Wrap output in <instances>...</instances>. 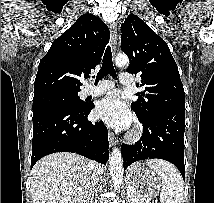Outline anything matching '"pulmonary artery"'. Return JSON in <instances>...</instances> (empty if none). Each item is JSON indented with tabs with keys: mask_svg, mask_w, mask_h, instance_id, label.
I'll return each instance as SVG.
<instances>
[{
	"mask_svg": "<svg viewBox=\"0 0 214 203\" xmlns=\"http://www.w3.org/2000/svg\"><path fill=\"white\" fill-rule=\"evenodd\" d=\"M120 83L125 86H131L134 84L133 79L131 78V74L129 73H121L120 74ZM114 87V83L112 81H102L97 86H90L85 89V96H97L105 93L106 91L112 89Z\"/></svg>",
	"mask_w": 214,
	"mask_h": 203,
	"instance_id": "e3ab8cb5",
	"label": "pulmonary artery"
}]
</instances>
